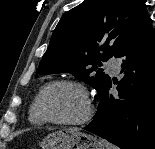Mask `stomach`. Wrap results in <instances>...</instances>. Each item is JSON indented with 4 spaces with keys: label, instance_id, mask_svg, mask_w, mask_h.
<instances>
[{
    "label": "stomach",
    "instance_id": "0dacf381",
    "mask_svg": "<svg viewBox=\"0 0 155 149\" xmlns=\"http://www.w3.org/2000/svg\"><path fill=\"white\" fill-rule=\"evenodd\" d=\"M40 146L42 149H111L104 140L71 128L47 135Z\"/></svg>",
    "mask_w": 155,
    "mask_h": 149
}]
</instances>
